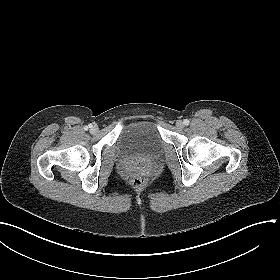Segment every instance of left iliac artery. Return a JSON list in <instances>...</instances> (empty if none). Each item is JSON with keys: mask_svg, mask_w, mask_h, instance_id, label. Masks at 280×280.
<instances>
[{"mask_svg": "<svg viewBox=\"0 0 280 280\" xmlns=\"http://www.w3.org/2000/svg\"><path fill=\"white\" fill-rule=\"evenodd\" d=\"M183 123H184V125H189V120H188V119H185V120L183 121Z\"/></svg>", "mask_w": 280, "mask_h": 280, "instance_id": "1", "label": "left iliac artery"}]
</instances>
